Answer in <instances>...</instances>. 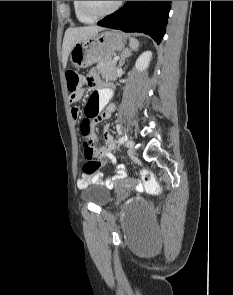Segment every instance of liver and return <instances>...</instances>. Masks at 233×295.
<instances>
[{
	"label": "liver",
	"instance_id": "liver-1",
	"mask_svg": "<svg viewBox=\"0 0 233 295\" xmlns=\"http://www.w3.org/2000/svg\"><path fill=\"white\" fill-rule=\"evenodd\" d=\"M102 30L103 28L101 26L96 25L68 28L65 32L62 45L63 68H66L68 56L70 54L71 48L75 43L85 40Z\"/></svg>",
	"mask_w": 233,
	"mask_h": 295
}]
</instances>
